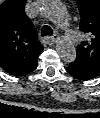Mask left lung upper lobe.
Returning <instances> with one entry per match:
<instances>
[{
	"label": "left lung upper lobe",
	"instance_id": "left-lung-upper-lobe-1",
	"mask_svg": "<svg viewBox=\"0 0 100 118\" xmlns=\"http://www.w3.org/2000/svg\"><path fill=\"white\" fill-rule=\"evenodd\" d=\"M81 15L80 29L90 40L77 48L76 60L100 70V0H76Z\"/></svg>",
	"mask_w": 100,
	"mask_h": 118
}]
</instances>
